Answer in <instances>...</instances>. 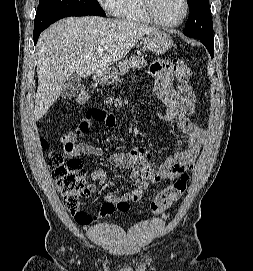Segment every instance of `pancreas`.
<instances>
[{
	"instance_id": "obj_1",
	"label": "pancreas",
	"mask_w": 253,
	"mask_h": 271,
	"mask_svg": "<svg viewBox=\"0 0 253 271\" xmlns=\"http://www.w3.org/2000/svg\"><path fill=\"white\" fill-rule=\"evenodd\" d=\"M144 65H146V62L143 56H131L119 63V75L126 74L130 68H142Z\"/></svg>"
}]
</instances>
